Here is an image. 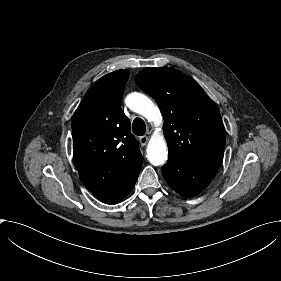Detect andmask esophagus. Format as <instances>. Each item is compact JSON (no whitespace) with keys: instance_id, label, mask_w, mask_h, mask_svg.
Here are the masks:
<instances>
[{"instance_id":"34e87169","label":"esophagus","mask_w":281,"mask_h":281,"mask_svg":"<svg viewBox=\"0 0 281 281\" xmlns=\"http://www.w3.org/2000/svg\"><path fill=\"white\" fill-rule=\"evenodd\" d=\"M139 140L141 145L145 146L148 143L149 138L147 136H141Z\"/></svg>"}]
</instances>
